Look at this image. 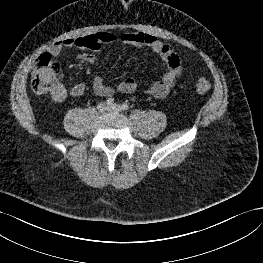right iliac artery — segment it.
Wrapping results in <instances>:
<instances>
[{
  "label": "right iliac artery",
  "instance_id": "right-iliac-artery-1",
  "mask_svg": "<svg viewBox=\"0 0 263 263\" xmlns=\"http://www.w3.org/2000/svg\"><path fill=\"white\" fill-rule=\"evenodd\" d=\"M106 103H107V105H112L113 103H114V99L113 98H108L107 100H106Z\"/></svg>",
  "mask_w": 263,
  "mask_h": 263
}]
</instances>
